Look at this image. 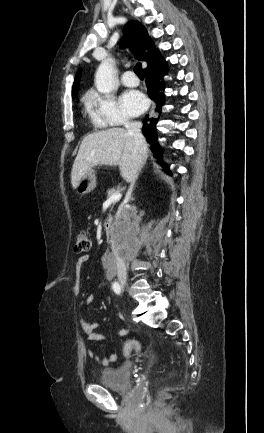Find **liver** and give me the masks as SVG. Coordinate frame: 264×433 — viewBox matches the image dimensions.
I'll use <instances>...</instances> for the list:
<instances>
[{"instance_id":"obj_1","label":"liver","mask_w":264,"mask_h":433,"mask_svg":"<svg viewBox=\"0 0 264 433\" xmlns=\"http://www.w3.org/2000/svg\"><path fill=\"white\" fill-rule=\"evenodd\" d=\"M147 153L148 148L143 164ZM99 164L119 166L120 174L127 182L138 176L143 166L139 164L134 138L123 128L95 131L83 139L72 167V187L75 189L80 179Z\"/></svg>"}]
</instances>
